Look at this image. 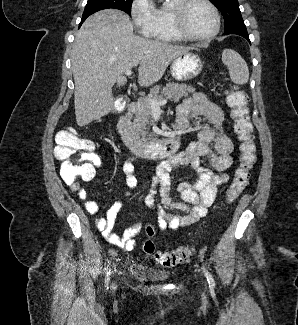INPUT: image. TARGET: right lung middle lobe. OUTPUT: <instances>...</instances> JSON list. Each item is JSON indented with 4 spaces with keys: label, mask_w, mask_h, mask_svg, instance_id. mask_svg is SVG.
<instances>
[{
    "label": "right lung middle lobe",
    "mask_w": 298,
    "mask_h": 325,
    "mask_svg": "<svg viewBox=\"0 0 298 325\" xmlns=\"http://www.w3.org/2000/svg\"><path fill=\"white\" fill-rule=\"evenodd\" d=\"M132 0H88L82 16L85 20L91 14L108 8L122 10L128 14L131 13Z\"/></svg>",
    "instance_id": "dd1d6c3e"
}]
</instances>
